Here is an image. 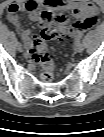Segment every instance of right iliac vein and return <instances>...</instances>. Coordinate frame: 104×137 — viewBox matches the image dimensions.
Returning a JSON list of instances; mask_svg holds the SVG:
<instances>
[{
    "instance_id": "right-iliac-vein-1",
    "label": "right iliac vein",
    "mask_w": 104,
    "mask_h": 137,
    "mask_svg": "<svg viewBox=\"0 0 104 137\" xmlns=\"http://www.w3.org/2000/svg\"><path fill=\"white\" fill-rule=\"evenodd\" d=\"M17 50L19 52H23V46L21 44H17Z\"/></svg>"
}]
</instances>
